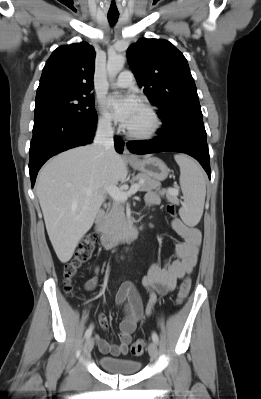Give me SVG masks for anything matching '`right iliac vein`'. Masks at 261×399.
<instances>
[{
    "mask_svg": "<svg viewBox=\"0 0 261 399\" xmlns=\"http://www.w3.org/2000/svg\"><path fill=\"white\" fill-rule=\"evenodd\" d=\"M94 347V340L93 338H88L85 342L83 353L84 355H88Z\"/></svg>",
    "mask_w": 261,
    "mask_h": 399,
    "instance_id": "obj_1",
    "label": "right iliac vein"
}]
</instances>
